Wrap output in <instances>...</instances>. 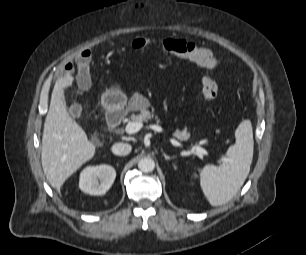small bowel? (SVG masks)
I'll list each match as a JSON object with an SVG mask.
<instances>
[{
	"label": "small bowel",
	"instance_id": "1",
	"mask_svg": "<svg viewBox=\"0 0 306 255\" xmlns=\"http://www.w3.org/2000/svg\"><path fill=\"white\" fill-rule=\"evenodd\" d=\"M78 60H79V63H80L81 65H86V64H88V63L90 62V60H91L90 52H88V51L82 52V53L79 55ZM67 69L70 70V71H72L73 67H72V64H71V63H69V64L67 65ZM166 107H167V104H166Z\"/></svg>",
	"mask_w": 306,
	"mask_h": 255
}]
</instances>
